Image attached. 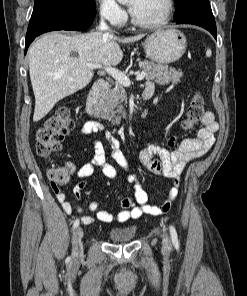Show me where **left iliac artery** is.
<instances>
[{"instance_id": "44dca946", "label": "left iliac artery", "mask_w": 247, "mask_h": 296, "mask_svg": "<svg viewBox=\"0 0 247 296\" xmlns=\"http://www.w3.org/2000/svg\"><path fill=\"white\" fill-rule=\"evenodd\" d=\"M170 234H171V238H172V242L173 244L177 247L179 246V242H178V237H177V232L176 229L173 226H170Z\"/></svg>"}]
</instances>
